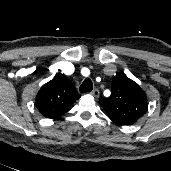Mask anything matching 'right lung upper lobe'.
Instances as JSON below:
<instances>
[{
	"mask_svg": "<svg viewBox=\"0 0 171 171\" xmlns=\"http://www.w3.org/2000/svg\"><path fill=\"white\" fill-rule=\"evenodd\" d=\"M80 98L70 80L63 74L56 75L39 90L36 106L47 118H57Z\"/></svg>",
	"mask_w": 171,
	"mask_h": 171,
	"instance_id": "cb5924a9",
	"label": "right lung upper lobe"
}]
</instances>
